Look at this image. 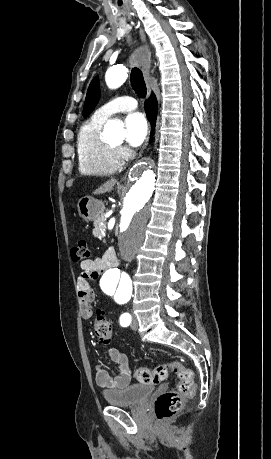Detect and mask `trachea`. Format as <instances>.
Wrapping results in <instances>:
<instances>
[{
	"mask_svg": "<svg viewBox=\"0 0 271 459\" xmlns=\"http://www.w3.org/2000/svg\"><path fill=\"white\" fill-rule=\"evenodd\" d=\"M130 83L131 87L133 88V90H135L139 97H146V84L143 78L142 71L139 68L133 67V69L131 70Z\"/></svg>",
	"mask_w": 271,
	"mask_h": 459,
	"instance_id": "trachea-1",
	"label": "trachea"
}]
</instances>
